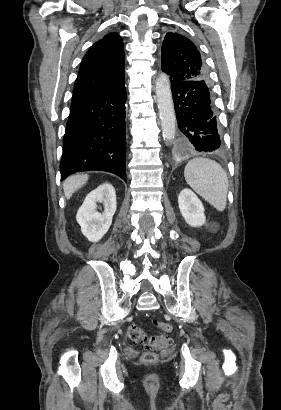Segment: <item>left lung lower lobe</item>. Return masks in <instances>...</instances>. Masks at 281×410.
I'll use <instances>...</instances> for the list:
<instances>
[{
    "label": "left lung lower lobe",
    "instance_id": "obj_1",
    "mask_svg": "<svg viewBox=\"0 0 281 410\" xmlns=\"http://www.w3.org/2000/svg\"><path fill=\"white\" fill-rule=\"evenodd\" d=\"M171 89L184 144L199 152L218 150L221 137L208 82L171 80Z\"/></svg>",
    "mask_w": 281,
    "mask_h": 410
}]
</instances>
